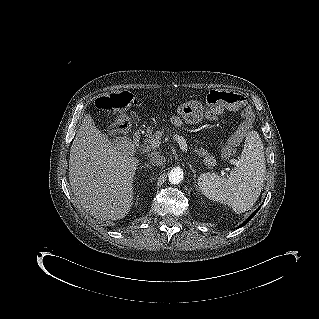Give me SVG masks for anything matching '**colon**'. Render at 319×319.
<instances>
[{"label":"colon","instance_id":"1","mask_svg":"<svg viewBox=\"0 0 319 319\" xmlns=\"http://www.w3.org/2000/svg\"><path fill=\"white\" fill-rule=\"evenodd\" d=\"M137 103L138 100L127 91L104 95L96 100V106L99 109L106 112L110 117L115 116V122L111 128V132L115 135H122L129 130L130 119L125 114V111L130 106L136 105ZM206 103L208 106L213 108L223 105L241 107L243 105V100L242 97L235 92L214 90L206 96ZM244 130V126H241L239 130L222 146L221 154L223 157L229 158L235 154V145H237L243 138Z\"/></svg>","mask_w":319,"mask_h":319}]
</instances>
